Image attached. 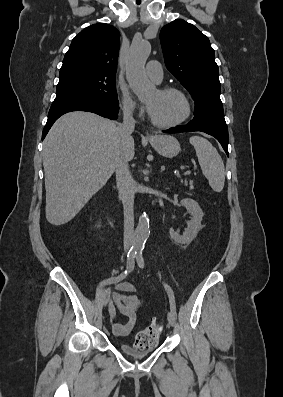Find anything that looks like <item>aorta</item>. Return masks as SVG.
I'll use <instances>...</instances> for the list:
<instances>
[{
  "label": "aorta",
  "instance_id": "1",
  "mask_svg": "<svg viewBox=\"0 0 283 397\" xmlns=\"http://www.w3.org/2000/svg\"><path fill=\"white\" fill-rule=\"evenodd\" d=\"M151 46L146 41L134 42L129 50L126 63V78L132 91L139 99L150 95L155 86L148 80L145 74V63L150 55ZM149 217L144 212L140 215L138 225L134 233L132 248L135 251L142 250L149 237Z\"/></svg>",
  "mask_w": 283,
  "mask_h": 397
}]
</instances>
